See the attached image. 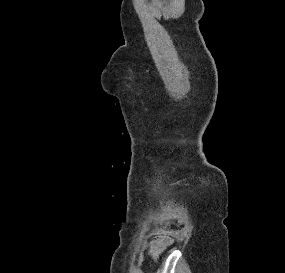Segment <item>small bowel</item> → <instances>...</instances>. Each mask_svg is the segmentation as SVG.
<instances>
[{
  "instance_id": "small-bowel-1",
  "label": "small bowel",
  "mask_w": 285,
  "mask_h": 273,
  "mask_svg": "<svg viewBox=\"0 0 285 273\" xmlns=\"http://www.w3.org/2000/svg\"><path fill=\"white\" fill-rule=\"evenodd\" d=\"M172 240L169 237L159 238L151 249V254L157 256L162 250H164L168 245H170Z\"/></svg>"
}]
</instances>
